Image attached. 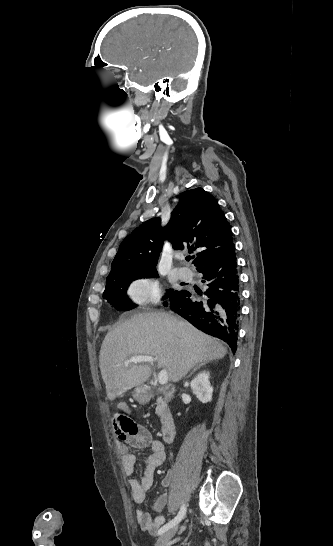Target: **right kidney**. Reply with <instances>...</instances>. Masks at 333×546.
Instances as JSON below:
<instances>
[{
    "mask_svg": "<svg viewBox=\"0 0 333 546\" xmlns=\"http://www.w3.org/2000/svg\"><path fill=\"white\" fill-rule=\"evenodd\" d=\"M209 375V371H202L190 383L193 393L202 403H207L212 399L213 387L210 385Z\"/></svg>",
    "mask_w": 333,
    "mask_h": 546,
    "instance_id": "1",
    "label": "right kidney"
}]
</instances>
